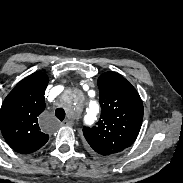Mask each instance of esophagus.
I'll use <instances>...</instances> for the list:
<instances>
[{"label":"esophagus","instance_id":"1","mask_svg":"<svg viewBox=\"0 0 183 183\" xmlns=\"http://www.w3.org/2000/svg\"><path fill=\"white\" fill-rule=\"evenodd\" d=\"M62 126H70L72 125V122L69 121V120H64L62 123H61Z\"/></svg>","mask_w":183,"mask_h":183}]
</instances>
